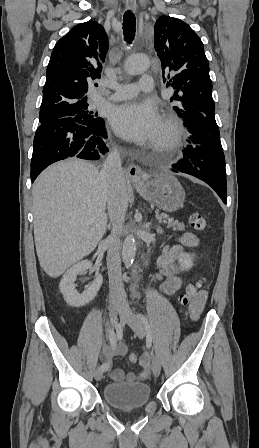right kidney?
Masks as SVG:
<instances>
[{"label": "right kidney", "mask_w": 259, "mask_h": 448, "mask_svg": "<svg viewBox=\"0 0 259 448\" xmlns=\"http://www.w3.org/2000/svg\"><path fill=\"white\" fill-rule=\"evenodd\" d=\"M92 264L89 260H83V262H78L72 268H69L67 272H65L60 284V292L63 294V298L69 306H73V308H80V306H86L88 302H91L95 296H97L103 282V276L98 274L95 280H93L91 286L84 290L82 294H78L77 290H75L77 284H74L77 276L79 274H83L86 270H91Z\"/></svg>", "instance_id": "obj_1"}]
</instances>
